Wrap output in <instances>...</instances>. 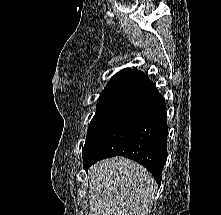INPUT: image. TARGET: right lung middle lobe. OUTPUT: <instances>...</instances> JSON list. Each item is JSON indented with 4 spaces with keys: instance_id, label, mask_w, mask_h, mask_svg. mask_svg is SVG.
I'll return each mask as SVG.
<instances>
[{
    "instance_id": "right-lung-middle-lobe-1",
    "label": "right lung middle lobe",
    "mask_w": 221,
    "mask_h": 215,
    "mask_svg": "<svg viewBox=\"0 0 221 215\" xmlns=\"http://www.w3.org/2000/svg\"><path fill=\"white\" fill-rule=\"evenodd\" d=\"M131 103L129 100L101 101L88 127L86 142L82 150L83 157L88 156L105 136L116 120Z\"/></svg>"
}]
</instances>
